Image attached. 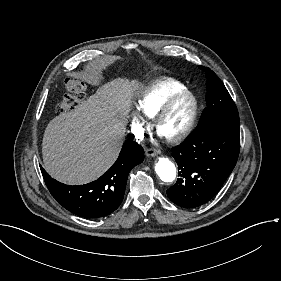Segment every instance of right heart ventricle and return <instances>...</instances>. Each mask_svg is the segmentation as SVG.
I'll use <instances>...</instances> for the list:
<instances>
[{
	"label": "right heart ventricle",
	"instance_id": "1",
	"mask_svg": "<svg viewBox=\"0 0 281 281\" xmlns=\"http://www.w3.org/2000/svg\"><path fill=\"white\" fill-rule=\"evenodd\" d=\"M186 89L180 81L168 79L134 96L131 104L137 113L150 118L170 97ZM135 127L141 129L138 120L135 122Z\"/></svg>",
	"mask_w": 281,
	"mask_h": 281
}]
</instances>
